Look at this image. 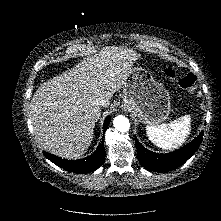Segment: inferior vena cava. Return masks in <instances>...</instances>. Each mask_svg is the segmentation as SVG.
Here are the masks:
<instances>
[{
	"mask_svg": "<svg viewBox=\"0 0 221 221\" xmlns=\"http://www.w3.org/2000/svg\"><path fill=\"white\" fill-rule=\"evenodd\" d=\"M96 104L101 107H105L108 104V100L104 98H99L96 100Z\"/></svg>",
	"mask_w": 221,
	"mask_h": 221,
	"instance_id": "1",
	"label": "inferior vena cava"
}]
</instances>
